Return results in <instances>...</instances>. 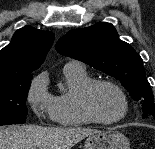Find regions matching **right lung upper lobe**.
Returning <instances> with one entry per match:
<instances>
[{"instance_id": "cb5924a9", "label": "right lung upper lobe", "mask_w": 155, "mask_h": 149, "mask_svg": "<svg viewBox=\"0 0 155 149\" xmlns=\"http://www.w3.org/2000/svg\"><path fill=\"white\" fill-rule=\"evenodd\" d=\"M54 41V34L25 26L15 32L0 51V77L31 74L40 67Z\"/></svg>"}]
</instances>
